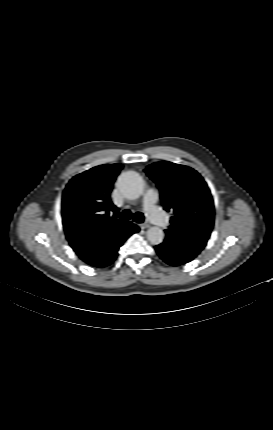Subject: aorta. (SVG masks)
<instances>
[{
	"label": "aorta",
	"instance_id": "aorta-1",
	"mask_svg": "<svg viewBox=\"0 0 273 430\" xmlns=\"http://www.w3.org/2000/svg\"><path fill=\"white\" fill-rule=\"evenodd\" d=\"M117 185L121 193L128 199L139 198L144 190V181L135 171L122 173L117 180ZM147 238L153 245H159L163 242L164 232L159 227H151L147 230Z\"/></svg>",
	"mask_w": 273,
	"mask_h": 430
}]
</instances>
